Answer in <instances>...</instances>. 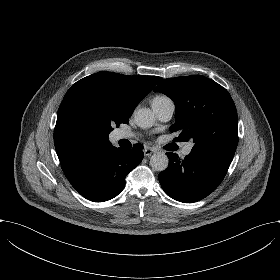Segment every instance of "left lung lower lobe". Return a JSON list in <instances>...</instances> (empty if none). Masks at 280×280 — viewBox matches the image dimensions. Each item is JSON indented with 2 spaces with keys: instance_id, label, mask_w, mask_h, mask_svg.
Masks as SVG:
<instances>
[{
  "instance_id": "0a47b994",
  "label": "left lung lower lobe",
  "mask_w": 280,
  "mask_h": 280,
  "mask_svg": "<svg viewBox=\"0 0 280 280\" xmlns=\"http://www.w3.org/2000/svg\"><path fill=\"white\" fill-rule=\"evenodd\" d=\"M169 166L159 174L161 187L171 198L183 202H197L212 193L222 182L233 159L232 154L195 150L183 160L168 152Z\"/></svg>"
}]
</instances>
